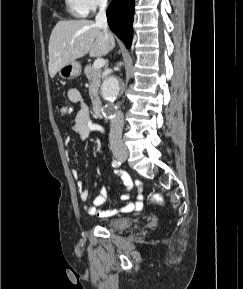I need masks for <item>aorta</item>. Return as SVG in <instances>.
<instances>
[{"label":"aorta","mask_w":243,"mask_h":289,"mask_svg":"<svg viewBox=\"0 0 243 289\" xmlns=\"http://www.w3.org/2000/svg\"><path fill=\"white\" fill-rule=\"evenodd\" d=\"M120 85L115 77H108L102 85V95L108 102H113L119 95Z\"/></svg>","instance_id":"1"}]
</instances>
